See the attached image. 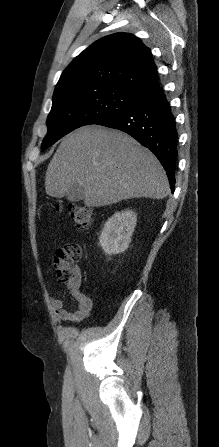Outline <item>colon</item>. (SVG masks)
I'll return each mask as SVG.
<instances>
[{
    "label": "colon",
    "mask_w": 219,
    "mask_h": 447,
    "mask_svg": "<svg viewBox=\"0 0 219 447\" xmlns=\"http://www.w3.org/2000/svg\"><path fill=\"white\" fill-rule=\"evenodd\" d=\"M57 212L64 210L63 205L55 207ZM69 216L78 229H88L94 214L91 208L81 205H69L67 207ZM82 256V248L78 243H67L59 248L53 259L52 265L59 281L76 288L80 281V271L76 263Z\"/></svg>",
    "instance_id": "obj_1"
}]
</instances>
